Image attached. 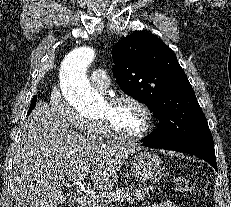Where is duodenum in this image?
Returning a JSON list of instances; mask_svg holds the SVG:
<instances>
[{"instance_id":"410a0bca","label":"duodenum","mask_w":231,"mask_h":207,"mask_svg":"<svg viewBox=\"0 0 231 207\" xmlns=\"http://www.w3.org/2000/svg\"><path fill=\"white\" fill-rule=\"evenodd\" d=\"M77 207H90V200L87 198H80Z\"/></svg>"}]
</instances>
